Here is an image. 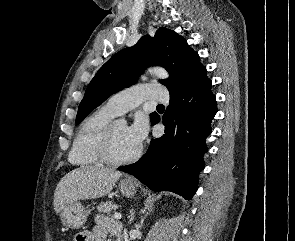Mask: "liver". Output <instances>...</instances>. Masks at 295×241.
<instances>
[{
	"instance_id": "obj_1",
	"label": "liver",
	"mask_w": 295,
	"mask_h": 241,
	"mask_svg": "<svg viewBox=\"0 0 295 241\" xmlns=\"http://www.w3.org/2000/svg\"><path fill=\"white\" fill-rule=\"evenodd\" d=\"M121 172L95 166H82L67 173L54 192V210L61 212L78 200L95 199L109 194Z\"/></svg>"
}]
</instances>
